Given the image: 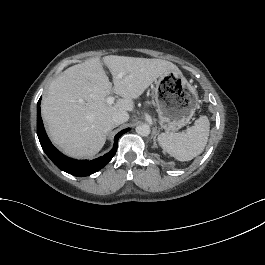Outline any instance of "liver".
<instances>
[{"label": "liver", "instance_id": "obj_1", "mask_svg": "<svg viewBox=\"0 0 265 265\" xmlns=\"http://www.w3.org/2000/svg\"><path fill=\"white\" fill-rule=\"evenodd\" d=\"M104 67L114 76V88ZM171 73L182 76L164 60L112 55L68 68L49 85L41 105L52 141L72 156H94L115 128L112 114L133 112L134 100L158 78ZM118 74L123 76L117 78ZM113 92L121 98L109 104L107 96Z\"/></svg>", "mask_w": 265, "mask_h": 265}]
</instances>
